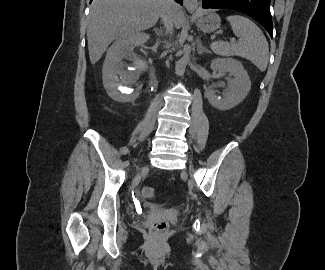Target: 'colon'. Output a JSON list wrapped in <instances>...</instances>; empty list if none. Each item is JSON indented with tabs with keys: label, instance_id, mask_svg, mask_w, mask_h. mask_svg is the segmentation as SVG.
Masks as SVG:
<instances>
[{
	"label": "colon",
	"instance_id": "5ec220e1",
	"mask_svg": "<svg viewBox=\"0 0 325 270\" xmlns=\"http://www.w3.org/2000/svg\"><path fill=\"white\" fill-rule=\"evenodd\" d=\"M142 195L145 199H152L155 196V190L152 187H145L142 191ZM168 227V223L164 220H161L153 224L152 230L154 233L163 234L168 230Z\"/></svg>",
	"mask_w": 325,
	"mask_h": 270
}]
</instances>
